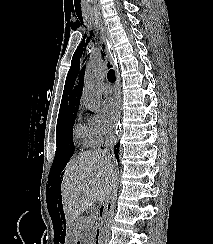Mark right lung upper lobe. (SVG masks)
I'll return each mask as SVG.
<instances>
[{"mask_svg": "<svg viewBox=\"0 0 213 244\" xmlns=\"http://www.w3.org/2000/svg\"><path fill=\"white\" fill-rule=\"evenodd\" d=\"M82 94L81 91V84L79 82V86L74 87L72 90V93L70 94L69 99L68 98H63L61 101V106L59 110V115L68 112L70 110H75L78 109L79 104H80V95Z\"/></svg>", "mask_w": 213, "mask_h": 244, "instance_id": "right-lung-upper-lobe-1", "label": "right lung upper lobe"}]
</instances>
